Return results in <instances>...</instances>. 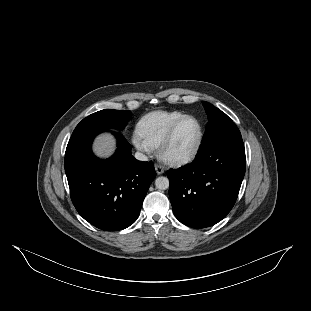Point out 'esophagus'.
<instances>
[{"instance_id": "34e87169", "label": "esophagus", "mask_w": 311, "mask_h": 311, "mask_svg": "<svg viewBox=\"0 0 311 311\" xmlns=\"http://www.w3.org/2000/svg\"><path fill=\"white\" fill-rule=\"evenodd\" d=\"M154 167H155L156 173H157L158 175H161V174L164 173V168H163L162 165L156 163V164L154 165Z\"/></svg>"}]
</instances>
